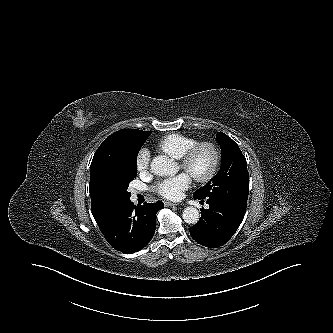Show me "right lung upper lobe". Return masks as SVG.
I'll return each mask as SVG.
<instances>
[{"label":"right lung upper lobe","instance_id":"cb5924a9","mask_svg":"<svg viewBox=\"0 0 333 333\" xmlns=\"http://www.w3.org/2000/svg\"><path fill=\"white\" fill-rule=\"evenodd\" d=\"M152 131L122 129L108 136L94 154L89 192L91 195L92 214L98 223L118 202L111 196L107 186V174L113 160L129 145L141 141Z\"/></svg>","mask_w":333,"mask_h":333}]
</instances>
